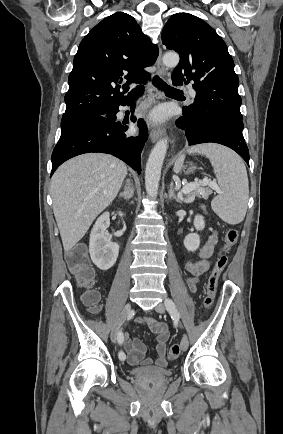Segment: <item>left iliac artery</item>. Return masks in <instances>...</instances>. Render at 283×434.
Listing matches in <instances>:
<instances>
[{"label": "left iliac artery", "mask_w": 283, "mask_h": 434, "mask_svg": "<svg viewBox=\"0 0 283 434\" xmlns=\"http://www.w3.org/2000/svg\"><path fill=\"white\" fill-rule=\"evenodd\" d=\"M164 303H165V307L167 308V310L169 311V313L173 318L175 319L180 318V313L171 299L169 298L166 299Z\"/></svg>", "instance_id": "44dca946"}]
</instances>
